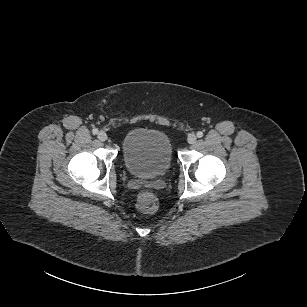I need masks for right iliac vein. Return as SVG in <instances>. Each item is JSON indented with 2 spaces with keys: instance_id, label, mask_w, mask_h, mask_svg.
<instances>
[{
  "instance_id": "right-iliac-vein-1",
  "label": "right iliac vein",
  "mask_w": 307,
  "mask_h": 307,
  "mask_svg": "<svg viewBox=\"0 0 307 307\" xmlns=\"http://www.w3.org/2000/svg\"><path fill=\"white\" fill-rule=\"evenodd\" d=\"M98 139L100 140V141H106L107 140V134L105 133V132H103V131H100L99 133H98Z\"/></svg>"
}]
</instances>
